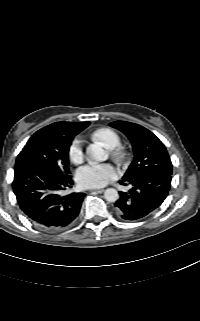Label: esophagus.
Listing matches in <instances>:
<instances>
[{
    "label": "esophagus",
    "instance_id": "1",
    "mask_svg": "<svg viewBox=\"0 0 200 321\" xmlns=\"http://www.w3.org/2000/svg\"><path fill=\"white\" fill-rule=\"evenodd\" d=\"M91 192L92 193H102V192H104V190L103 189H95V190H92Z\"/></svg>",
    "mask_w": 200,
    "mask_h": 321
}]
</instances>
